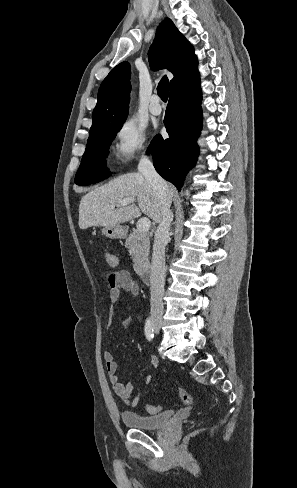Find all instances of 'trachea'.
Returning a JSON list of instances; mask_svg holds the SVG:
<instances>
[{"instance_id": "trachea-1", "label": "trachea", "mask_w": 297, "mask_h": 488, "mask_svg": "<svg viewBox=\"0 0 297 488\" xmlns=\"http://www.w3.org/2000/svg\"><path fill=\"white\" fill-rule=\"evenodd\" d=\"M157 93L162 101H167L169 95V80L166 76H164L158 83Z\"/></svg>"}]
</instances>
